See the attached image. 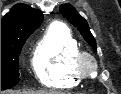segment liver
I'll list each match as a JSON object with an SVG mask.
<instances>
[{
    "label": "liver",
    "instance_id": "obj_1",
    "mask_svg": "<svg viewBox=\"0 0 121 94\" xmlns=\"http://www.w3.org/2000/svg\"><path fill=\"white\" fill-rule=\"evenodd\" d=\"M1 94H61L57 91H8V92H1Z\"/></svg>",
    "mask_w": 121,
    "mask_h": 94
}]
</instances>
